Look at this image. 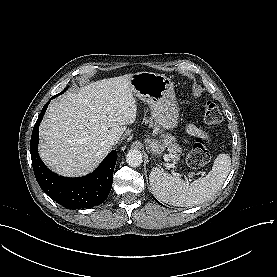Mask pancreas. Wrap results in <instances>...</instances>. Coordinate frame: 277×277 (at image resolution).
<instances>
[{"label":"pancreas","mask_w":277,"mask_h":277,"mask_svg":"<svg viewBox=\"0 0 277 277\" xmlns=\"http://www.w3.org/2000/svg\"><path fill=\"white\" fill-rule=\"evenodd\" d=\"M156 131L160 132L159 128L156 127ZM161 136H162L163 147L168 149V152L170 153L172 160L177 161L178 160L177 153L181 152L182 149L176 143L175 137L171 136L170 134H161Z\"/></svg>","instance_id":"cf45deb5"}]
</instances>
